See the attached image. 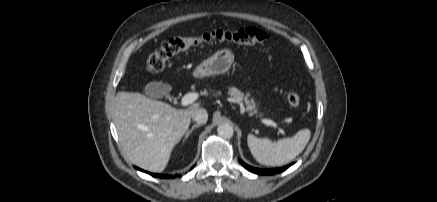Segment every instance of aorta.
I'll list each match as a JSON object with an SVG mask.
<instances>
[{
  "instance_id": "obj_1",
  "label": "aorta",
  "mask_w": 437,
  "mask_h": 202,
  "mask_svg": "<svg viewBox=\"0 0 437 202\" xmlns=\"http://www.w3.org/2000/svg\"><path fill=\"white\" fill-rule=\"evenodd\" d=\"M218 135L224 139L232 138L234 129L230 124H220L217 128Z\"/></svg>"
}]
</instances>
